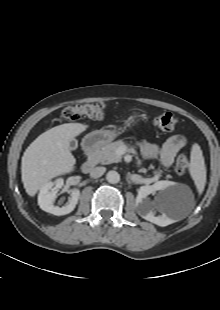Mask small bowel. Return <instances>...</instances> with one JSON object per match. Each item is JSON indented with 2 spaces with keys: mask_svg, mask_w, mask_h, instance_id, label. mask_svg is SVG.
Segmentation results:
<instances>
[{
  "mask_svg": "<svg viewBox=\"0 0 220 310\" xmlns=\"http://www.w3.org/2000/svg\"><path fill=\"white\" fill-rule=\"evenodd\" d=\"M187 139L183 135H174L167 139L162 146H158L147 141L141 143L142 154L146 158L159 157L166 167L172 165L179 151L185 148Z\"/></svg>",
  "mask_w": 220,
  "mask_h": 310,
  "instance_id": "obj_1",
  "label": "small bowel"
}]
</instances>
